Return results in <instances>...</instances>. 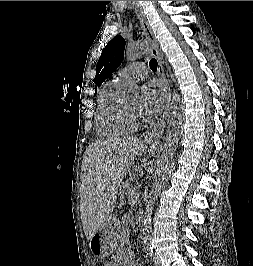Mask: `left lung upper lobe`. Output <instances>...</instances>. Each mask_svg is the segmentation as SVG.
<instances>
[{"label":"left lung upper lobe","mask_w":253,"mask_h":266,"mask_svg":"<svg viewBox=\"0 0 253 266\" xmlns=\"http://www.w3.org/2000/svg\"><path fill=\"white\" fill-rule=\"evenodd\" d=\"M124 49L125 40L120 35L114 37L103 49L96 66V76L94 78L95 95L97 86H100L121 64L124 57Z\"/></svg>","instance_id":"left-lung-upper-lobe-1"}]
</instances>
